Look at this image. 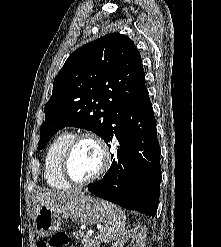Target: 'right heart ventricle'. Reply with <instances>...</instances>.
I'll return each instance as SVG.
<instances>
[{
    "label": "right heart ventricle",
    "instance_id": "1",
    "mask_svg": "<svg viewBox=\"0 0 221 247\" xmlns=\"http://www.w3.org/2000/svg\"><path fill=\"white\" fill-rule=\"evenodd\" d=\"M73 135L69 132L59 134L49 145L44 162V174L48 185L55 189H68L71 184L66 181L61 172L64 152Z\"/></svg>",
    "mask_w": 221,
    "mask_h": 247
}]
</instances>
